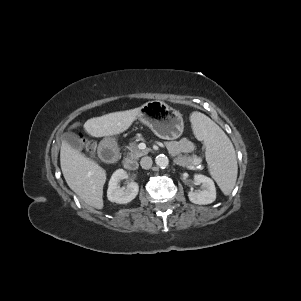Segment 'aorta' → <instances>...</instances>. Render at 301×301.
Instances as JSON below:
<instances>
[{"instance_id":"aorta-1","label":"aorta","mask_w":301,"mask_h":301,"mask_svg":"<svg viewBox=\"0 0 301 301\" xmlns=\"http://www.w3.org/2000/svg\"><path fill=\"white\" fill-rule=\"evenodd\" d=\"M155 162L160 168H166L169 164L167 156L160 154L156 157Z\"/></svg>"}]
</instances>
